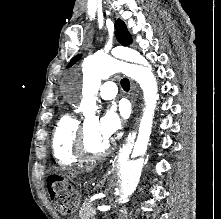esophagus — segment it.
I'll return each mask as SVG.
<instances>
[{"label":"esophagus","instance_id":"obj_1","mask_svg":"<svg viewBox=\"0 0 221 219\" xmlns=\"http://www.w3.org/2000/svg\"><path fill=\"white\" fill-rule=\"evenodd\" d=\"M136 98H137L136 87L133 83H131V102H132L133 105L136 102Z\"/></svg>","mask_w":221,"mask_h":219}]
</instances>
